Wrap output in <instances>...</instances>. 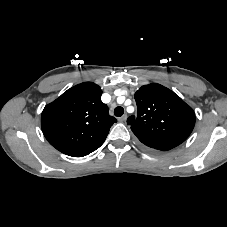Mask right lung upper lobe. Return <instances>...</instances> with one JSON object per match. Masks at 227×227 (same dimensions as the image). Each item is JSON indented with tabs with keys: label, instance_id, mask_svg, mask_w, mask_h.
I'll return each instance as SVG.
<instances>
[{
	"label": "right lung upper lobe",
	"instance_id": "cb5924a9",
	"mask_svg": "<svg viewBox=\"0 0 227 227\" xmlns=\"http://www.w3.org/2000/svg\"><path fill=\"white\" fill-rule=\"evenodd\" d=\"M101 95L100 86L84 82L46 105L41 127L48 142L72 157H82L99 148L117 121L109 115Z\"/></svg>",
	"mask_w": 227,
	"mask_h": 227
}]
</instances>
